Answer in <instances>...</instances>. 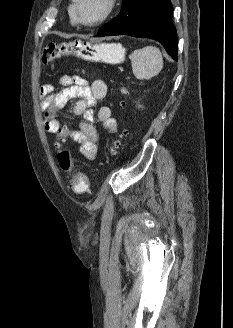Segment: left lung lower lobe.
Masks as SVG:
<instances>
[{"instance_id":"1","label":"left lung lower lobe","mask_w":233,"mask_h":328,"mask_svg":"<svg viewBox=\"0 0 233 328\" xmlns=\"http://www.w3.org/2000/svg\"><path fill=\"white\" fill-rule=\"evenodd\" d=\"M172 16L170 0H123L118 16L105 24L97 37L130 35L155 39L177 61V33Z\"/></svg>"}]
</instances>
